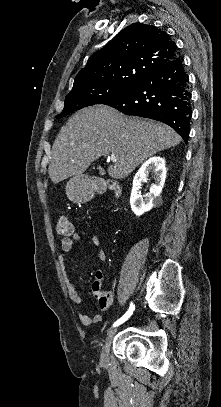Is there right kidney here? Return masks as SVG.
<instances>
[{
    "label": "right kidney",
    "mask_w": 221,
    "mask_h": 407,
    "mask_svg": "<svg viewBox=\"0 0 221 407\" xmlns=\"http://www.w3.org/2000/svg\"><path fill=\"white\" fill-rule=\"evenodd\" d=\"M154 172L155 182L151 185L150 193L142 196L139 192L141 182L146 178L149 171ZM166 179L165 160L161 157L155 156L145 161L139 168L133 179V187L130 196L131 209L135 215L141 216L145 212L151 210L154 206L162 203L160 194L164 187Z\"/></svg>",
    "instance_id": "1"
}]
</instances>
